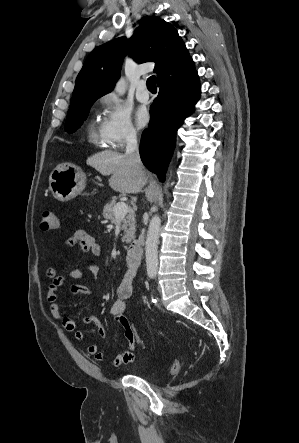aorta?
Masks as SVG:
<instances>
[{
    "mask_svg": "<svg viewBox=\"0 0 299 443\" xmlns=\"http://www.w3.org/2000/svg\"><path fill=\"white\" fill-rule=\"evenodd\" d=\"M126 87L127 84L125 79L121 78L115 86V92L119 95H123L126 91ZM160 226L161 219L158 214H155L149 223L145 242L146 267L147 272L150 274H155L158 269V242Z\"/></svg>",
    "mask_w": 299,
    "mask_h": 443,
    "instance_id": "1",
    "label": "aorta"
}]
</instances>
